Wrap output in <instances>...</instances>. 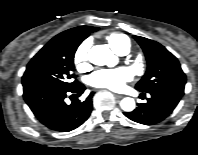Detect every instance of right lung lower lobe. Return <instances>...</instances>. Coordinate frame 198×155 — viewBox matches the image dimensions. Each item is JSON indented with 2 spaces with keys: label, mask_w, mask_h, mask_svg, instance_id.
Wrapping results in <instances>:
<instances>
[{
  "label": "right lung lower lobe",
  "mask_w": 198,
  "mask_h": 155,
  "mask_svg": "<svg viewBox=\"0 0 198 155\" xmlns=\"http://www.w3.org/2000/svg\"><path fill=\"white\" fill-rule=\"evenodd\" d=\"M84 91L85 87L81 83L69 88L30 84L23 86V97L43 125L54 131L69 132L82 125L90 116L94 92L85 100L76 99L70 105L64 99L70 93L79 97Z\"/></svg>",
  "instance_id": "1"
}]
</instances>
